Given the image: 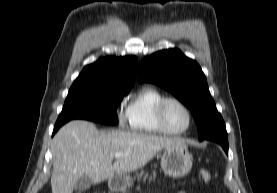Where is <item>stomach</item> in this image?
Segmentation results:
<instances>
[{
	"instance_id": "1",
	"label": "stomach",
	"mask_w": 277,
	"mask_h": 193,
	"mask_svg": "<svg viewBox=\"0 0 277 193\" xmlns=\"http://www.w3.org/2000/svg\"><path fill=\"white\" fill-rule=\"evenodd\" d=\"M193 157L186 146H174L166 148L161 157V168L164 173L173 178H180L188 174L192 168ZM130 184V177L116 175L109 179V187L115 192H122Z\"/></svg>"
}]
</instances>
